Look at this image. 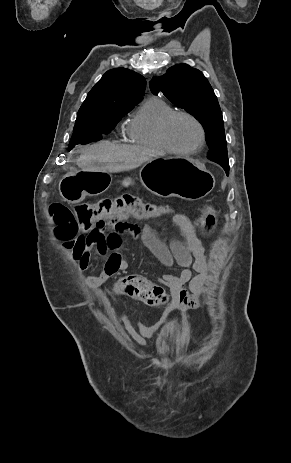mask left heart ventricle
Returning a JSON list of instances; mask_svg holds the SVG:
<instances>
[{
    "instance_id": "b2bd125f",
    "label": "left heart ventricle",
    "mask_w": 291,
    "mask_h": 463,
    "mask_svg": "<svg viewBox=\"0 0 291 463\" xmlns=\"http://www.w3.org/2000/svg\"><path fill=\"white\" fill-rule=\"evenodd\" d=\"M170 141L178 148L189 149L197 145L200 138L198 127L185 117H177L168 129Z\"/></svg>"
}]
</instances>
